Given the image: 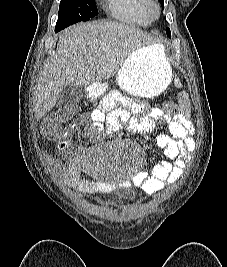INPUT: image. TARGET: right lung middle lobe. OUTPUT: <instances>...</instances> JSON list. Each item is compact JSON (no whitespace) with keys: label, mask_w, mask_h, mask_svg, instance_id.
I'll return each mask as SVG.
<instances>
[{"label":"right lung middle lobe","mask_w":227,"mask_h":267,"mask_svg":"<svg viewBox=\"0 0 227 267\" xmlns=\"http://www.w3.org/2000/svg\"><path fill=\"white\" fill-rule=\"evenodd\" d=\"M98 15L95 0H61L55 31Z\"/></svg>","instance_id":"1"}]
</instances>
